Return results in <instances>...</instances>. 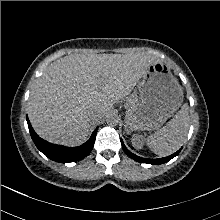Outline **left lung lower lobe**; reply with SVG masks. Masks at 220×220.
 <instances>
[{"label":"left lung lower lobe","instance_id":"0a47b994","mask_svg":"<svg viewBox=\"0 0 220 220\" xmlns=\"http://www.w3.org/2000/svg\"><path fill=\"white\" fill-rule=\"evenodd\" d=\"M121 144H122V148L124 150V152L129 156L131 157L132 159L138 161V162H141V163H148V164H153V165H158V164H163V163H166L168 162L169 160H171L172 158H174L175 156H177L179 154V152L181 151V149H179L176 153L170 155V156H167V157H164V158H159V159H147V158H142V157H139L133 153H131L124 145V143L121 141Z\"/></svg>","mask_w":220,"mask_h":220}]
</instances>
